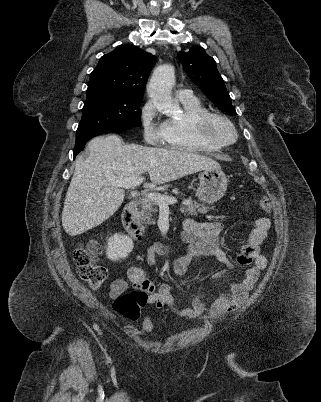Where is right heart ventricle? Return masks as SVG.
<instances>
[{"mask_svg":"<svg viewBox=\"0 0 321 402\" xmlns=\"http://www.w3.org/2000/svg\"><path fill=\"white\" fill-rule=\"evenodd\" d=\"M181 104L183 107L182 115L169 118L163 122L165 145L192 152L212 153L220 150V148L203 141L195 128L196 118L209 111L208 108L196 97L183 100Z\"/></svg>","mask_w":321,"mask_h":402,"instance_id":"1","label":"right heart ventricle"}]
</instances>
